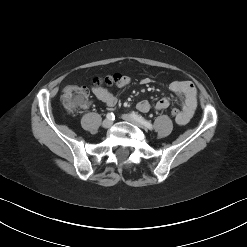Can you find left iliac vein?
Wrapping results in <instances>:
<instances>
[{"label": "left iliac vein", "mask_w": 247, "mask_h": 247, "mask_svg": "<svg viewBox=\"0 0 247 247\" xmlns=\"http://www.w3.org/2000/svg\"><path fill=\"white\" fill-rule=\"evenodd\" d=\"M122 119L125 120V121H128V122H131L133 123L134 125L142 128L143 125L141 123H139L136 119H134V117L130 114H124L122 115Z\"/></svg>", "instance_id": "1"}]
</instances>
